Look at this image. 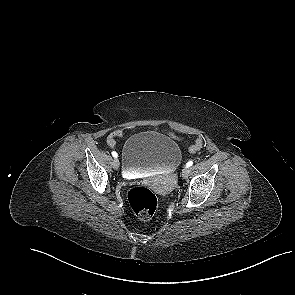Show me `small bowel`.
Instances as JSON below:
<instances>
[{
  "instance_id": "small-bowel-1",
  "label": "small bowel",
  "mask_w": 295,
  "mask_h": 295,
  "mask_svg": "<svg viewBox=\"0 0 295 295\" xmlns=\"http://www.w3.org/2000/svg\"><path fill=\"white\" fill-rule=\"evenodd\" d=\"M124 130L122 128H117L107 137V145L110 148H115L117 144V138L123 135ZM174 136L173 134H171ZM175 137V136H174ZM203 146V139L198 138L189 148L190 153H197Z\"/></svg>"
}]
</instances>
